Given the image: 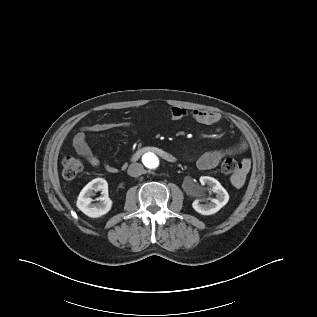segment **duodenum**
Masks as SVG:
<instances>
[{
  "label": "duodenum",
  "mask_w": 317,
  "mask_h": 317,
  "mask_svg": "<svg viewBox=\"0 0 317 317\" xmlns=\"http://www.w3.org/2000/svg\"><path fill=\"white\" fill-rule=\"evenodd\" d=\"M146 152H153L168 162H175L176 161V158L173 154H171V153H169V152H167L159 147H156V146H147V147H144V148L136 151L132 156V160L135 161V160L139 159V157L143 153H146Z\"/></svg>",
  "instance_id": "410a0bca"
}]
</instances>
